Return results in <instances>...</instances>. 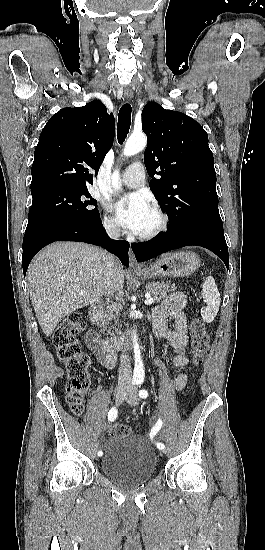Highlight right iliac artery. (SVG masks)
Returning a JSON list of instances; mask_svg holds the SVG:
<instances>
[{
	"label": "right iliac artery",
	"instance_id": "obj_1",
	"mask_svg": "<svg viewBox=\"0 0 265 550\" xmlns=\"http://www.w3.org/2000/svg\"><path fill=\"white\" fill-rule=\"evenodd\" d=\"M135 382H136V381L134 380V381H133V384H134ZM117 415H118V410H117V408H116V407H112V408L109 410V412H108V420H109L110 422H113V421L116 419ZM101 453H102V452L99 451V452H98V455H101Z\"/></svg>",
	"mask_w": 265,
	"mask_h": 550
}]
</instances>
